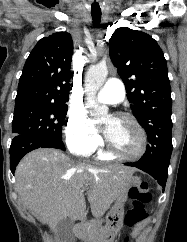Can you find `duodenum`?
I'll list each match as a JSON object with an SVG mask.
<instances>
[{
  "instance_id": "obj_1",
  "label": "duodenum",
  "mask_w": 187,
  "mask_h": 242,
  "mask_svg": "<svg viewBox=\"0 0 187 242\" xmlns=\"http://www.w3.org/2000/svg\"><path fill=\"white\" fill-rule=\"evenodd\" d=\"M87 230V225L83 222H79L74 225L73 232L76 236H83Z\"/></svg>"
}]
</instances>
